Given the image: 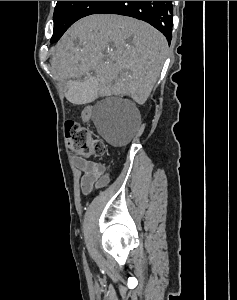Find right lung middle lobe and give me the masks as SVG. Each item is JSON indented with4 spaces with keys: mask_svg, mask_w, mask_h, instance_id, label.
<instances>
[{
    "mask_svg": "<svg viewBox=\"0 0 237 300\" xmlns=\"http://www.w3.org/2000/svg\"><path fill=\"white\" fill-rule=\"evenodd\" d=\"M107 1H57L54 10V31L51 43L57 42L77 20L95 14Z\"/></svg>",
    "mask_w": 237,
    "mask_h": 300,
    "instance_id": "obj_1",
    "label": "right lung middle lobe"
}]
</instances>
